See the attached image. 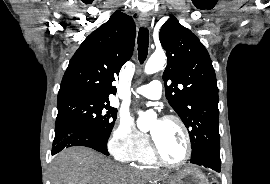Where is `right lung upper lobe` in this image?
Returning <instances> with one entry per match:
<instances>
[{
  "mask_svg": "<svg viewBox=\"0 0 270 184\" xmlns=\"http://www.w3.org/2000/svg\"><path fill=\"white\" fill-rule=\"evenodd\" d=\"M135 24L131 17L116 11L80 45L63 76L58 98L87 96L109 101L116 93L112 82L133 54Z\"/></svg>",
  "mask_w": 270,
  "mask_h": 184,
  "instance_id": "right-lung-upper-lobe-1",
  "label": "right lung upper lobe"
}]
</instances>
